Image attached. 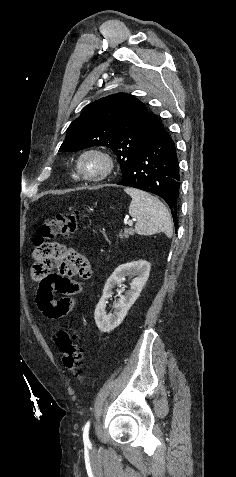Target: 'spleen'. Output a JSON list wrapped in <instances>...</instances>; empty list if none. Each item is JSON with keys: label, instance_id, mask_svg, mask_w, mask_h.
Listing matches in <instances>:
<instances>
[{"label": "spleen", "instance_id": "1", "mask_svg": "<svg viewBox=\"0 0 236 477\" xmlns=\"http://www.w3.org/2000/svg\"><path fill=\"white\" fill-rule=\"evenodd\" d=\"M124 191L132 198L129 214L136 219L135 232L137 234L152 235L164 232L167 237H172L171 216L158 198L134 188L126 187Z\"/></svg>", "mask_w": 236, "mask_h": 477}]
</instances>
